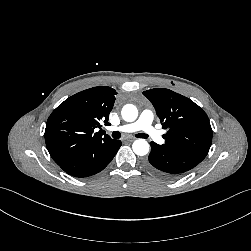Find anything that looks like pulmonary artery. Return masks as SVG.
<instances>
[{"instance_id":"pulmonary-artery-1","label":"pulmonary artery","mask_w":251,"mask_h":251,"mask_svg":"<svg viewBox=\"0 0 251 251\" xmlns=\"http://www.w3.org/2000/svg\"><path fill=\"white\" fill-rule=\"evenodd\" d=\"M153 118V112L149 109H145L141 112L136 121L122 125L116 128V130L125 133L142 131L153 141L163 143L161 133L153 126Z\"/></svg>"}]
</instances>
